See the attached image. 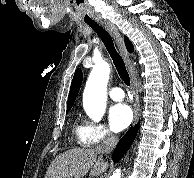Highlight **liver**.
I'll return each instance as SVG.
<instances>
[{
    "label": "liver",
    "mask_w": 194,
    "mask_h": 178,
    "mask_svg": "<svg viewBox=\"0 0 194 178\" xmlns=\"http://www.w3.org/2000/svg\"><path fill=\"white\" fill-rule=\"evenodd\" d=\"M94 149L76 148L59 154L49 166L45 178H82L90 171L97 177L108 168V163L98 157Z\"/></svg>",
    "instance_id": "6515ba94"
}]
</instances>
